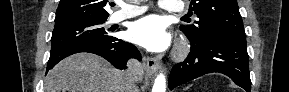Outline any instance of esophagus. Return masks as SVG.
Instances as JSON below:
<instances>
[{
  "instance_id": "obj_1",
  "label": "esophagus",
  "mask_w": 289,
  "mask_h": 92,
  "mask_svg": "<svg viewBox=\"0 0 289 92\" xmlns=\"http://www.w3.org/2000/svg\"><path fill=\"white\" fill-rule=\"evenodd\" d=\"M144 66L150 78H152L155 73L160 69V63L151 57L145 58Z\"/></svg>"
}]
</instances>
